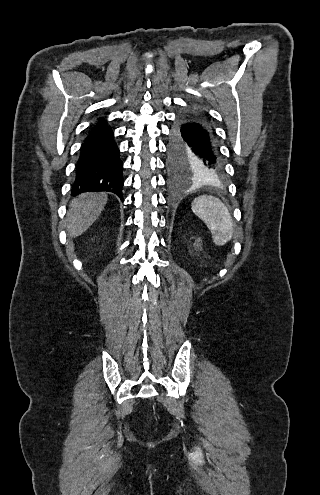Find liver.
Listing matches in <instances>:
<instances>
[{"label":"liver","mask_w":320,"mask_h":495,"mask_svg":"<svg viewBox=\"0 0 320 495\" xmlns=\"http://www.w3.org/2000/svg\"><path fill=\"white\" fill-rule=\"evenodd\" d=\"M107 201L106 193H82L72 199L66 218L68 235L83 234L99 217Z\"/></svg>","instance_id":"6515ba94"}]
</instances>
